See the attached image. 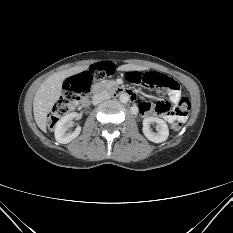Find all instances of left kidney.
Wrapping results in <instances>:
<instances>
[{
	"label": "left kidney",
	"mask_w": 233,
	"mask_h": 233,
	"mask_svg": "<svg viewBox=\"0 0 233 233\" xmlns=\"http://www.w3.org/2000/svg\"><path fill=\"white\" fill-rule=\"evenodd\" d=\"M152 123L157 124V132H152L150 130V124ZM142 130L145 137L154 143L164 142L169 136V129L166 122L157 117L144 118Z\"/></svg>",
	"instance_id": "left-kidney-1"
}]
</instances>
